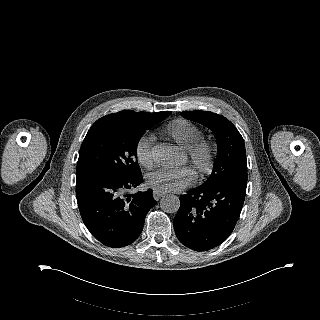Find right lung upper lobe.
<instances>
[{
  "label": "right lung upper lobe",
  "mask_w": 320,
  "mask_h": 320,
  "mask_svg": "<svg viewBox=\"0 0 320 320\" xmlns=\"http://www.w3.org/2000/svg\"><path fill=\"white\" fill-rule=\"evenodd\" d=\"M166 116L160 113L133 112L123 110L118 113L107 115L96 121L85 138L98 135L108 131H125L139 132L144 131L157 122L164 119Z\"/></svg>",
  "instance_id": "right-lung-upper-lobe-1"
}]
</instances>
